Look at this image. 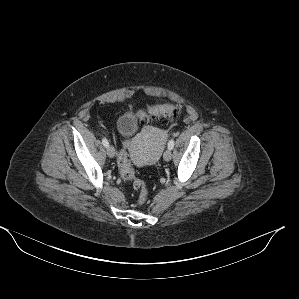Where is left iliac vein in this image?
Masks as SVG:
<instances>
[{
	"label": "left iliac vein",
	"mask_w": 299,
	"mask_h": 299,
	"mask_svg": "<svg viewBox=\"0 0 299 299\" xmlns=\"http://www.w3.org/2000/svg\"><path fill=\"white\" fill-rule=\"evenodd\" d=\"M171 157H172V152L170 149H167L164 154H163V159L168 162L171 160Z\"/></svg>",
	"instance_id": "1"
}]
</instances>
